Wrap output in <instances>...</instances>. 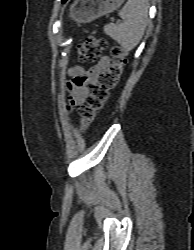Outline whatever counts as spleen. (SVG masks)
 <instances>
[{"instance_id": "obj_1", "label": "spleen", "mask_w": 194, "mask_h": 250, "mask_svg": "<svg viewBox=\"0 0 194 250\" xmlns=\"http://www.w3.org/2000/svg\"><path fill=\"white\" fill-rule=\"evenodd\" d=\"M148 0H128L119 11L120 24L109 23L104 32L124 49H134L142 39L148 22Z\"/></svg>"}]
</instances>
